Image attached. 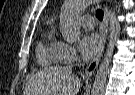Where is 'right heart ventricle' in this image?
Wrapping results in <instances>:
<instances>
[{"mask_svg": "<svg viewBox=\"0 0 135 95\" xmlns=\"http://www.w3.org/2000/svg\"><path fill=\"white\" fill-rule=\"evenodd\" d=\"M60 42L54 37L53 27L50 25L44 38L37 46V59L41 65L54 66L60 61L59 59Z\"/></svg>", "mask_w": 135, "mask_h": 95, "instance_id": "e07e8e85", "label": "right heart ventricle"}]
</instances>
